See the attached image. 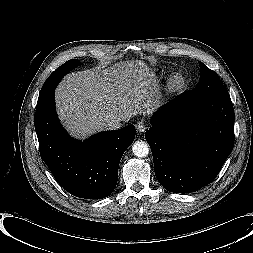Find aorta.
I'll use <instances>...</instances> for the list:
<instances>
[{"mask_svg":"<svg viewBox=\"0 0 253 253\" xmlns=\"http://www.w3.org/2000/svg\"><path fill=\"white\" fill-rule=\"evenodd\" d=\"M132 152L137 157H146L149 153V145L144 141H136L132 146Z\"/></svg>","mask_w":253,"mask_h":253,"instance_id":"762f6f07","label":"aorta"}]
</instances>
